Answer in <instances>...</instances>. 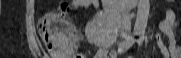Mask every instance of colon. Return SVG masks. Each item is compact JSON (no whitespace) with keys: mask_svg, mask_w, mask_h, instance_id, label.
Returning a JSON list of instances; mask_svg holds the SVG:
<instances>
[{"mask_svg":"<svg viewBox=\"0 0 181 58\" xmlns=\"http://www.w3.org/2000/svg\"><path fill=\"white\" fill-rule=\"evenodd\" d=\"M67 3H61L55 10L47 12L39 24V32L43 43L50 52L71 58H84L75 51L77 35L69 26Z\"/></svg>","mask_w":181,"mask_h":58,"instance_id":"obj_1","label":"colon"}]
</instances>
